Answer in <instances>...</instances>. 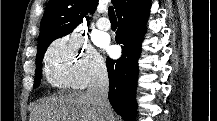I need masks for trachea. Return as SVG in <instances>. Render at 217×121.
<instances>
[{
	"mask_svg": "<svg viewBox=\"0 0 217 121\" xmlns=\"http://www.w3.org/2000/svg\"><path fill=\"white\" fill-rule=\"evenodd\" d=\"M108 15H109V18L110 19H116V15H115V12H114V8L111 6L109 7L108 9Z\"/></svg>",
	"mask_w": 217,
	"mask_h": 121,
	"instance_id": "obj_1",
	"label": "trachea"
}]
</instances>
